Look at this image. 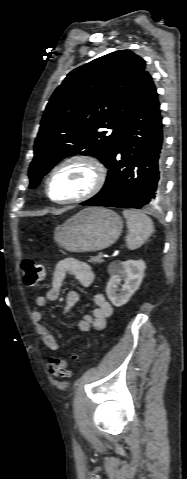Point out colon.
Instances as JSON below:
<instances>
[{"label":"colon","mask_w":187,"mask_h":479,"mask_svg":"<svg viewBox=\"0 0 187 479\" xmlns=\"http://www.w3.org/2000/svg\"><path fill=\"white\" fill-rule=\"evenodd\" d=\"M23 281L26 285L32 286L41 281L44 277V266L31 259H24L21 264ZM76 358L75 354L66 357L56 356L49 360L48 369L50 373L59 378L70 376L68 363L70 359Z\"/></svg>","instance_id":"obj_1"}]
</instances>
